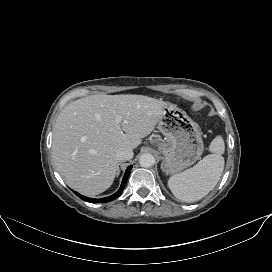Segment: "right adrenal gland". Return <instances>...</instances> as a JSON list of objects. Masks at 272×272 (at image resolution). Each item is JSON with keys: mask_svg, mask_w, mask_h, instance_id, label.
Segmentation results:
<instances>
[{"mask_svg": "<svg viewBox=\"0 0 272 272\" xmlns=\"http://www.w3.org/2000/svg\"><path fill=\"white\" fill-rule=\"evenodd\" d=\"M122 164V162L120 161V162H118V164H117V173H116V175L118 176L119 175V173H120V168H119V166Z\"/></svg>", "mask_w": 272, "mask_h": 272, "instance_id": "2a0ac1e0", "label": "right adrenal gland"}]
</instances>
